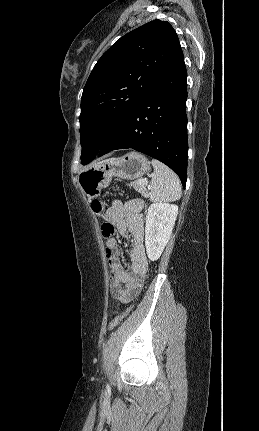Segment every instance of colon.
<instances>
[{
  "instance_id": "1",
  "label": "colon",
  "mask_w": 259,
  "mask_h": 431,
  "mask_svg": "<svg viewBox=\"0 0 259 431\" xmlns=\"http://www.w3.org/2000/svg\"><path fill=\"white\" fill-rule=\"evenodd\" d=\"M91 209L97 215V217L100 220H103L106 217V214H105L106 204H105V202H103L101 200H94L91 203ZM101 233L105 239L111 238L115 233L114 225L110 222L103 223L101 226ZM130 309H131V307H128L123 312L117 314L111 320V322L109 324V329L110 330L116 329L120 325V323L123 321V319L127 316Z\"/></svg>"
}]
</instances>
